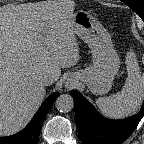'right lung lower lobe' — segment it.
I'll return each instance as SVG.
<instances>
[{"label":"right lung lower lobe","instance_id":"1","mask_svg":"<svg viewBox=\"0 0 144 144\" xmlns=\"http://www.w3.org/2000/svg\"><path fill=\"white\" fill-rule=\"evenodd\" d=\"M58 96L59 93H54L48 97L22 131L12 136L0 137V144H37L43 121Z\"/></svg>","mask_w":144,"mask_h":144}]
</instances>
